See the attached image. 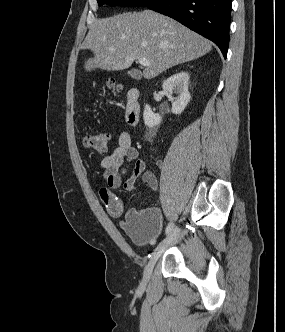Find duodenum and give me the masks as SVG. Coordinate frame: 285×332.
Here are the masks:
<instances>
[{"label":"duodenum","instance_id":"obj_1","mask_svg":"<svg viewBox=\"0 0 285 332\" xmlns=\"http://www.w3.org/2000/svg\"><path fill=\"white\" fill-rule=\"evenodd\" d=\"M139 97L140 92L137 88H131L127 93L125 120L130 126H136L140 121L141 105Z\"/></svg>","mask_w":285,"mask_h":332}]
</instances>
